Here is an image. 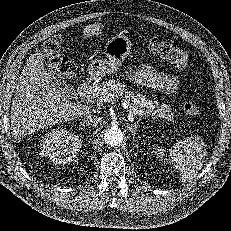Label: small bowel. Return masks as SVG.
<instances>
[{"instance_id": "1", "label": "small bowel", "mask_w": 231, "mask_h": 231, "mask_svg": "<svg viewBox=\"0 0 231 231\" xmlns=\"http://www.w3.org/2000/svg\"><path fill=\"white\" fill-rule=\"evenodd\" d=\"M130 80L135 84L167 94L175 92L179 87V79L176 75L159 71L150 65L135 68L130 74Z\"/></svg>"}]
</instances>
